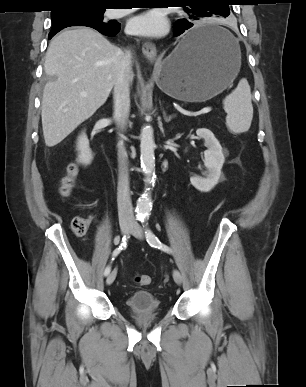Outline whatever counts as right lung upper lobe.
<instances>
[{
	"label": "right lung upper lobe",
	"instance_id": "right-lung-upper-lobe-1",
	"mask_svg": "<svg viewBox=\"0 0 306 387\" xmlns=\"http://www.w3.org/2000/svg\"><path fill=\"white\" fill-rule=\"evenodd\" d=\"M57 9L52 12H58L62 8L73 7V6H94L102 7L109 5L110 0H56Z\"/></svg>",
	"mask_w": 306,
	"mask_h": 387
}]
</instances>
